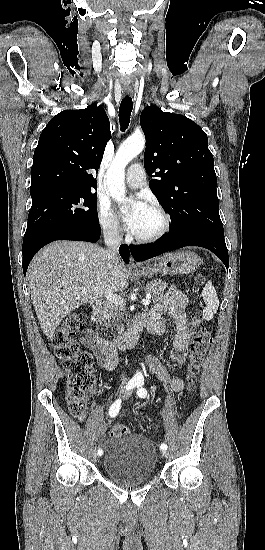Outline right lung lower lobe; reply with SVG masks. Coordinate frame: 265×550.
I'll list each match as a JSON object with an SVG mask.
<instances>
[{
	"label": "right lung lower lobe",
	"instance_id": "98d812e1",
	"mask_svg": "<svg viewBox=\"0 0 265 550\" xmlns=\"http://www.w3.org/2000/svg\"><path fill=\"white\" fill-rule=\"evenodd\" d=\"M101 229L98 223H68L53 226L25 236L23 239V272L26 274L33 256L46 244L55 240H81L95 243L100 238ZM119 253L125 263H129V247L123 244Z\"/></svg>",
	"mask_w": 265,
	"mask_h": 550
}]
</instances>
